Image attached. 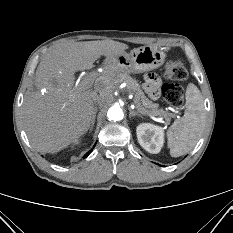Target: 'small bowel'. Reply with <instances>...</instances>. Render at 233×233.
<instances>
[{"label": "small bowel", "mask_w": 233, "mask_h": 233, "mask_svg": "<svg viewBox=\"0 0 233 233\" xmlns=\"http://www.w3.org/2000/svg\"><path fill=\"white\" fill-rule=\"evenodd\" d=\"M161 81L160 79L154 75V74H147L145 76V82H144V90L149 95V97L153 100H156L159 98Z\"/></svg>", "instance_id": "small-bowel-1"}]
</instances>
